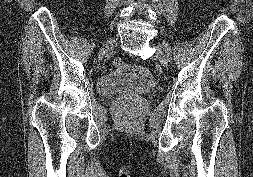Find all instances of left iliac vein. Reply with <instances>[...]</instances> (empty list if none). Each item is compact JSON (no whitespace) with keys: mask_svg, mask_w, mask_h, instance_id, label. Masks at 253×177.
Returning <instances> with one entry per match:
<instances>
[{"mask_svg":"<svg viewBox=\"0 0 253 177\" xmlns=\"http://www.w3.org/2000/svg\"><path fill=\"white\" fill-rule=\"evenodd\" d=\"M156 58L164 67H166L169 59L171 58L170 46L166 43H164L162 46H156Z\"/></svg>","mask_w":253,"mask_h":177,"instance_id":"obj_1","label":"left iliac vein"}]
</instances>
